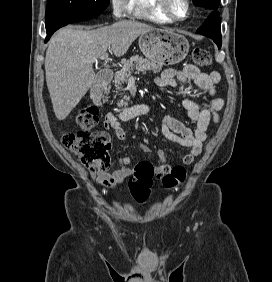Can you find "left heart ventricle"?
Returning a JSON list of instances; mask_svg holds the SVG:
<instances>
[{
  "instance_id": "1",
  "label": "left heart ventricle",
  "mask_w": 272,
  "mask_h": 282,
  "mask_svg": "<svg viewBox=\"0 0 272 282\" xmlns=\"http://www.w3.org/2000/svg\"><path fill=\"white\" fill-rule=\"evenodd\" d=\"M171 9L178 16H184L186 7L183 0H171Z\"/></svg>"
}]
</instances>
